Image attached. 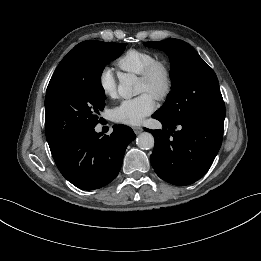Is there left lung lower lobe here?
<instances>
[{
    "mask_svg": "<svg viewBox=\"0 0 261 261\" xmlns=\"http://www.w3.org/2000/svg\"><path fill=\"white\" fill-rule=\"evenodd\" d=\"M162 130H148L155 145L151 163L156 174L174 185H188L200 179L212 165L221 143L225 114H209L170 121L153 115ZM180 130L176 131V126Z\"/></svg>",
    "mask_w": 261,
    "mask_h": 261,
    "instance_id": "0a47b994",
    "label": "left lung lower lobe"
}]
</instances>
